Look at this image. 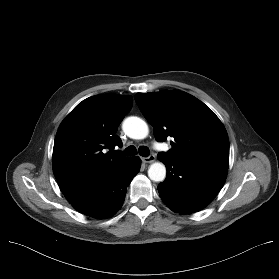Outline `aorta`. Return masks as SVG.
<instances>
[{
    "label": "aorta",
    "mask_w": 279,
    "mask_h": 279,
    "mask_svg": "<svg viewBox=\"0 0 279 279\" xmlns=\"http://www.w3.org/2000/svg\"><path fill=\"white\" fill-rule=\"evenodd\" d=\"M122 128L127 136L132 139H144L149 133L147 123L135 116L126 118ZM148 176L154 182H162L166 177V167L161 162H155L148 169Z\"/></svg>",
    "instance_id": "obj_1"
}]
</instances>
